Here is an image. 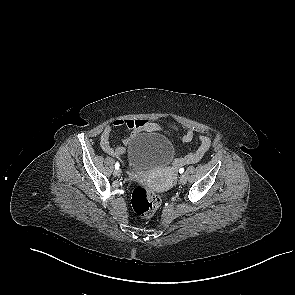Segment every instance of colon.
<instances>
[{"label":"colon","instance_id":"5ec220e1","mask_svg":"<svg viewBox=\"0 0 295 295\" xmlns=\"http://www.w3.org/2000/svg\"><path fill=\"white\" fill-rule=\"evenodd\" d=\"M161 199L155 192L144 188L137 187L131 195V204L134 212L142 218H150L157 211Z\"/></svg>","mask_w":295,"mask_h":295}]
</instances>
